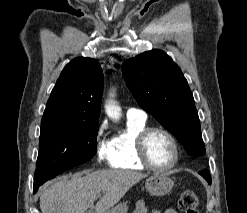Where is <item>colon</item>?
<instances>
[{"instance_id":"1","label":"colon","mask_w":247,"mask_h":213,"mask_svg":"<svg viewBox=\"0 0 247 213\" xmlns=\"http://www.w3.org/2000/svg\"><path fill=\"white\" fill-rule=\"evenodd\" d=\"M178 207L183 213H199L198 198L194 191L184 190L178 199Z\"/></svg>"}]
</instances>
